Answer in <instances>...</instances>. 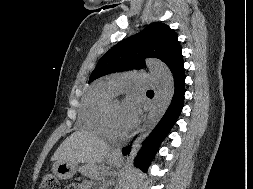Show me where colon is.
Here are the masks:
<instances>
[{
	"mask_svg": "<svg viewBox=\"0 0 253 189\" xmlns=\"http://www.w3.org/2000/svg\"><path fill=\"white\" fill-rule=\"evenodd\" d=\"M59 179L52 173H46L42 179L40 189H60Z\"/></svg>",
	"mask_w": 253,
	"mask_h": 189,
	"instance_id": "1",
	"label": "colon"
}]
</instances>
